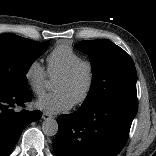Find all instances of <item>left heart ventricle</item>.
I'll use <instances>...</instances> for the list:
<instances>
[{"instance_id":"1","label":"left heart ventricle","mask_w":156,"mask_h":156,"mask_svg":"<svg viewBox=\"0 0 156 156\" xmlns=\"http://www.w3.org/2000/svg\"><path fill=\"white\" fill-rule=\"evenodd\" d=\"M87 82V74L82 70L72 80L56 79L53 89L65 93L73 102L81 95Z\"/></svg>"}]
</instances>
